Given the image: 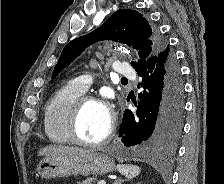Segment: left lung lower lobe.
Wrapping results in <instances>:
<instances>
[{
    "label": "left lung lower lobe",
    "mask_w": 224,
    "mask_h": 184,
    "mask_svg": "<svg viewBox=\"0 0 224 184\" xmlns=\"http://www.w3.org/2000/svg\"><path fill=\"white\" fill-rule=\"evenodd\" d=\"M143 77L136 113L125 110L119 131L126 147L167 153L182 130L183 84L174 53L168 46L136 70Z\"/></svg>",
    "instance_id": "obj_1"
}]
</instances>
